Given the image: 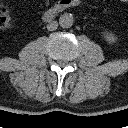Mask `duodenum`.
<instances>
[{
  "instance_id": "1",
  "label": "duodenum",
  "mask_w": 128,
  "mask_h": 128,
  "mask_svg": "<svg viewBox=\"0 0 128 128\" xmlns=\"http://www.w3.org/2000/svg\"><path fill=\"white\" fill-rule=\"evenodd\" d=\"M80 0H59L54 6L46 10L43 14L45 21H53L58 13L68 9L79 6Z\"/></svg>"
}]
</instances>
